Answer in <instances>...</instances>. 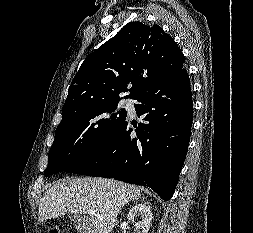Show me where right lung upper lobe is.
Wrapping results in <instances>:
<instances>
[{
  "instance_id": "cb5924a9",
  "label": "right lung upper lobe",
  "mask_w": 253,
  "mask_h": 233,
  "mask_svg": "<svg viewBox=\"0 0 253 233\" xmlns=\"http://www.w3.org/2000/svg\"><path fill=\"white\" fill-rule=\"evenodd\" d=\"M185 58L174 39L158 25L130 22L92 52L74 77L62 115L104 100L136 98L161 77L183 67Z\"/></svg>"
}]
</instances>
